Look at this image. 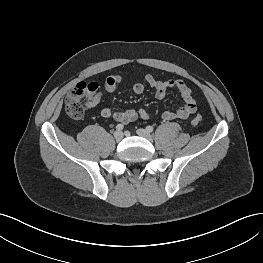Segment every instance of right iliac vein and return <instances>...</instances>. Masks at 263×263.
I'll return each instance as SVG.
<instances>
[{"label":"right iliac vein","instance_id":"right-iliac-vein-1","mask_svg":"<svg viewBox=\"0 0 263 263\" xmlns=\"http://www.w3.org/2000/svg\"><path fill=\"white\" fill-rule=\"evenodd\" d=\"M123 132H121V131H116L115 133H114V138L117 140V141H120V140H122L123 139Z\"/></svg>","mask_w":263,"mask_h":263}]
</instances>
